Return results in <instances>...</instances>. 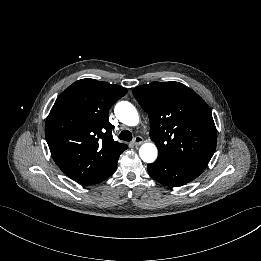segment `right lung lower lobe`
<instances>
[{
  "label": "right lung lower lobe",
  "instance_id": "right-lung-lower-lobe-1",
  "mask_svg": "<svg viewBox=\"0 0 261 261\" xmlns=\"http://www.w3.org/2000/svg\"><path fill=\"white\" fill-rule=\"evenodd\" d=\"M118 162V161H117ZM117 162H115L107 172H105L102 176L94 179V180H91V181H88L84 184H88V185H91V184H97V183H100L102 182L103 180H105L106 178H108L109 176H111L115 170H116V167H117Z\"/></svg>",
  "mask_w": 261,
  "mask_h": 261
}]
</instances>
